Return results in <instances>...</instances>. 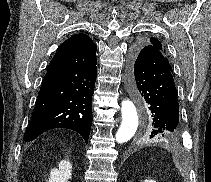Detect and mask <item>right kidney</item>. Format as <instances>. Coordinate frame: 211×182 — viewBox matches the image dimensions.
<instances>
[{
	"label": "right kidney",
	"instance_id": "right-kidney-1",
	"mask_svg": "<svg viewBox=\"0 0 211 182\" xmlns=\"http://www.w3.org/2000/svg\"><path fill=\"white\" fill-rule=\"evenodd\" d=\"M72 164L68 160L59 163V169H52L48 182H68L71 178Z\"/></svg>",
	"mask_w": 211,
	"mask_h": 182
}]
</instances>
